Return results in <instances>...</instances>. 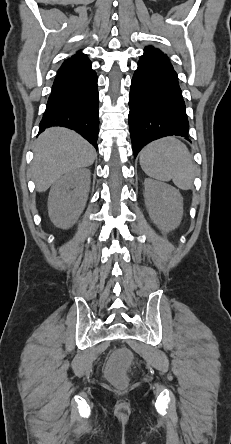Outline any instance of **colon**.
I'll use <instances>...</instances> for the list:
<instances>
[{
    "mask_svg": "<svg viewBox=\"0 0 231 444\" xmlns=\"http://www.w3.org/2000/svg\"><path fill=\"white\" fill-rule=\"evenodd\" d=\"M131 358V352L126 348L116 350L111 355L107 364L106 373L112 382L118 385H124L126 383V371L131 362Z\"/></svg>",
    "mask_w": 231,
    "mask_h": 444,
    "instance_id": "colon-1",
    "label": "colon"
}]
</instances>
